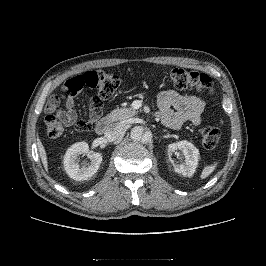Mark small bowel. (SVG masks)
<instances>
[{
	"instance_id": "1",
	"label": "small bowel",
	"mask_w": 266,
	"mask_h": 266,
	"mask_svg": "<svg viewBox=\"0 0 266 266\" xmlns=\"http://www.w3.org/2000/svg\"><path fill=\"white\" fill-rule=\"evenodd\" d=\"M75 97L76 92H68L64 98V109L59 113L60 118L68 125L76 120ZM158 107L162 123L169 128L177 129L185 122L199 125L205 110V102L195 95L167 90L159 94Z\"/></svg>"
}]
</instances>
